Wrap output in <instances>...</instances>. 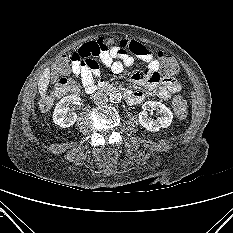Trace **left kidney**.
Instances as JSON below:
<instances>
[{
  "label": "left kidney",
  "instance_id": "obj_1",
  "mask_svg": "<svg viewBox=\"0 0 233 233\" xmlns=\"http://www.w3.org/2000/svg\"><path fill=\"white\" fill-rule=\"evenodd\" d=\"M143 111L139 113V122L142 127L151 132L159 131L161 128L170 126L173 115L169 108L156 101H147L142 106ZM154 110L160 114V117L153 120L148 117L147 111Z\"/></svg>",
  "mask_w": 233,
  "mask_h": 233
}]
</instances>
